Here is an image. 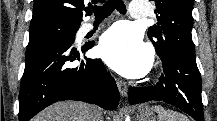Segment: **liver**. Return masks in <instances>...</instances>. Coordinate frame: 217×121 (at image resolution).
I'll return each instance as SVG.
<instances>
[{"mask_svg":"<svg viewBox=\"0 0 217 121\" xmlns=\"http://www.w3.org/2000/svg\"><path fill=\"white\" fill-rule=\"evenodd\" d=\"M93 106L79 101L55 103L36 115L32 121H90Z\"/></svg>","mask_w":217,"mask_h":121,"instance_id":"1","label":"liver"}]
</instances>
